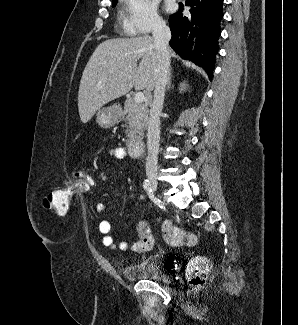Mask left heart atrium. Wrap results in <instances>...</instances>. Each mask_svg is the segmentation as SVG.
I'll return each instance as SVG.
<instances>
[{
  "instance_id": "1",
  "label": "left heart atrium",
  "mask_w": 298,
  "mask_h": 325,
  "mask_svg": "<svg viewBox=\"0 0 298 325\" xmlns=\"http://www.w3.org/2000/svg\"><path fill=\"white\" fill-rule=\"evenodd\" d=\"M167 9H168V10H172V9H173V4H172L171 2H169V3L167 4Z\"/></svg>"
}]
</instances>
